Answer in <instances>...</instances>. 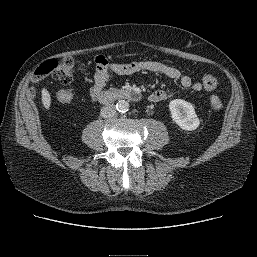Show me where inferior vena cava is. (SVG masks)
Here are the masks:
<instances>
[{"label": "inferior vena cava", "instance_id": "obj_1", "mask_svg": "<svg viewBox=\"0 0 257 257\" xmlns=\"http://www.w3.org/2000/svg\"><path fill=\"white\" fill-rule=\"evenodd\" d=\"M101 116L104 118L112 117L116 113L115 105L112 103H108L107 105L101 108Z\"/></svg>", "mask_w": 257, "mask_h": 257}]
</instances>
